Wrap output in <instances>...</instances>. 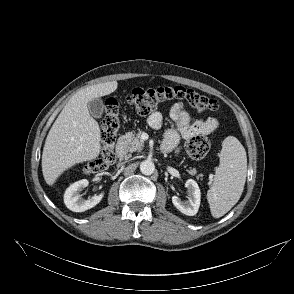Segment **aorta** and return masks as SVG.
<instances>
[{"label": "aorta", "instance_id": "aorta-1", "mask_svg": "<svg viewBox=\"0 0 294 294\" xmlns=\"http://www.w3.org/2000/svg\"><path fill=\"white\" fill-rule=\"evenodd\" d=\"M140 171L144 175H151L155 171V165L150 160H145L140 164Z\"/></svg>", "mask_w": 294, "mask_h": 294}]
</instances>
